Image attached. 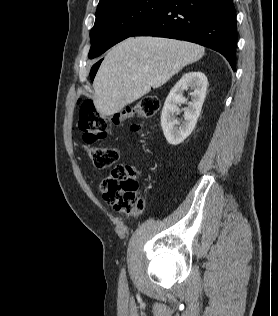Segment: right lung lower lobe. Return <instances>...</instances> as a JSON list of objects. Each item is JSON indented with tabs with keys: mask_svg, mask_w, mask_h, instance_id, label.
I'll return each mask as SVG.
<instances>
[{
	"mask_svg": "<svg viewBox=\"0 0 278 316\" xmlns=\"http://www.w3.org/2000/svg\"><path fill=\"white\" fill-rule=\"evenodd\" d=\"M132 36L194 42L221 53L236 70L237 28L232 0H165Z\"/></svg>",
	"mask_w": 278,
	"mask_h": 316,
	"instance_id": "98d812e1",
	"label": "right lung lower lobe"
}]
</instances>
